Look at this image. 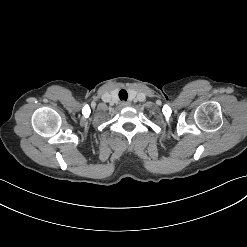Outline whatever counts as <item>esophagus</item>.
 <instances>
[{
	"label": "esophagus",
	"mask_w": 247,
	"mask_h": 247,
	"mask_svg": "<svg viewBox=\"0 0 247 247\" xmlns=\"http://www.w3.org/2000/svg\"><path fill=\"white\" fill-rule=\"evenodd\" d=\"M121 106H122V107L129 106V102H125V101H123V102L121 103Z\"/></svg>",
	"instance_id": "esophagus-1"
}]
</instances>
